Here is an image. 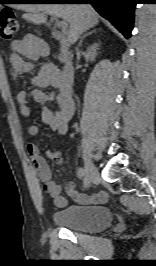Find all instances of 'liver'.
I'll use <instances>...</instances> for the list:
<instances>
[{
    "label": "liver",
    "mask_w": 156,
    "mask_h": 266,
    "mask_svg": "<svg viewBox=\"0 0 156 266\" xmlns=\"http://www.w3.org/2000/svg\"><path fill=\"white\" fill-rule=\"evenodd\" d=\"M17 7L27 12L23 15L27 21L35 24L45 23L47 15L62 17L69 25L67 36L71 43L99 22L98 14L88 4H18Z\"/></svg>",
    "instance_id": "1"
}]
</instances>
